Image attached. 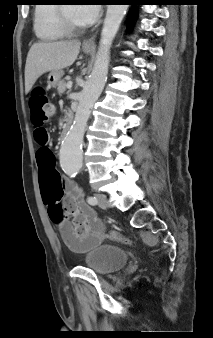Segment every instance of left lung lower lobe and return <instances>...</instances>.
<instances>
[{"mask_svg": "<svg viewBox=\"0 0 213 338\" xmlns=\"http://www.w3.org/2000/svg\"><path fill=\"white\" fill-rule=\"evenodd\" d=\"M123 1L128 2L130 5H139L137 3L140 2L141 0H123ZM133 15H134V11H132L131 13L130 20L133 18ZM128 26L131 27L132 23L130 22Z\"/></svg>", "mask_w": 213, "mask_h": 338, "instance_id": "0a47b994", "label": "left lung lower lobe"}]
</instances>
